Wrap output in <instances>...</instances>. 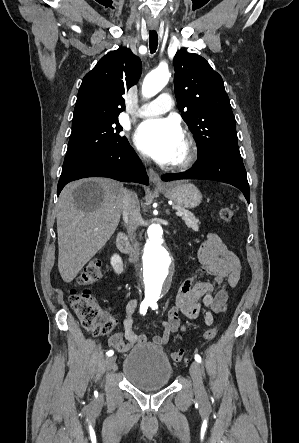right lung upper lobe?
<instances>
[{
  "instance_id": "1",
  "label": "right lung upper lobe",
  "mask_w": 299,
  "mask_h": 443,
  "mask_svg": "<svg viewBox=\"0 0 299 443\" xmlns=\"http://www.w3.org/2000/svg\"><path fill=\"white\" fill-rule=\"evenodd\" d=\"M142 70L130 49L119 48L102 57L82 80L72 123L89 118L118 117L125 109L122 95L136 84Z\"/></svg>"
}]
</instances>
